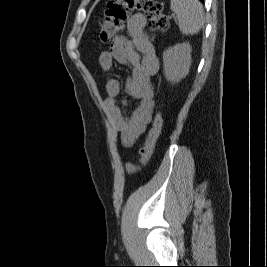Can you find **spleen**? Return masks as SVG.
Here are the masks:
<instances>
[{"label": "spleen", "mask_w": 267, "mask_h": 267, "mask_svg": "<svg viewBox=\"0 0 267 267\" xmlns=\"http://www.w3.org/2000/svg\"><path fill=\"white\" fill-rule=\"evenodd\" d=\"M170 9L177 16L182 34L193 35L204 25V9L199 0H171Z\"/></svg>", "instance_id": "obj_1"}]
</instances>
